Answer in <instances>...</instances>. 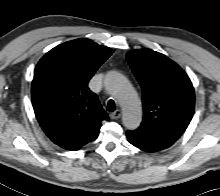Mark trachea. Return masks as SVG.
I'll return each instance as SVG.
<instances>
[{
	"label": "trachea",
	"mask_w": 220,
	"mask_h": 196,
	"mask_svg": "<svg viewBox=\"0 0 220 196\" xmlns=\"http://www.w3.org/2000/svg\"><path fill=\"white\" fill-rule=\"evenodd\" d=\"M107 111H110V112H113V111H115V103H114V101L112 100V99H110L109 101H108V104H107Z\"/></svg>",
	"instance_id": "3493384b"
}]
</instances>
